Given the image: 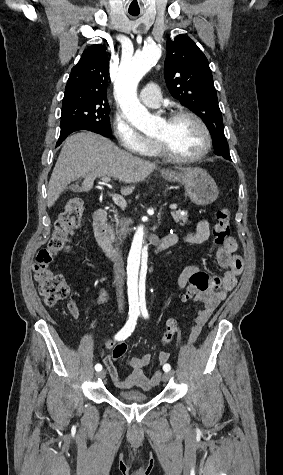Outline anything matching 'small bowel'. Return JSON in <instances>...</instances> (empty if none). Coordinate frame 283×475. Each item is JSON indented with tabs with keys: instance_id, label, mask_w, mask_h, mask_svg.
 Listing matches in <instances>:
<instances>
[{
	"instance_id": "obj_1",
	"label": "small bowel",
	"mask_w": 283,
	"mask_h": 475,
	"mask_svg": "<svg viewBox=\"0 0 283 475\" xmlns=\"http://www.w3.org/2000/svg\"><path fill=\"white\" fill-rule=\"evenodd\" d=\"M210 236L209 223L205 219L197 222L193 231H190L179 237L176 234L170 235V243L168 246L175 245L179 241L187 244H202L208 240ZM237 242L230 237L227 242L216 250V259L224 273L221 277L212 276L211 288L205 292V296H192L196 301L202 304L193 317L190 325V343H194L199 337L203 327L219 306V304L226 299L228 294L234 290L237 285L238 278L243 271V260L236 253ZM197 266L187 267L178 278V287L185 288L184 282L187 274H191V268ZM187 295H184V299ZM106 300V293L102 291L98 299L92 304L88 312L90 313L93 307L103 303ZM127 350L123 343H114L112 340L108 342L107 353L104 356V363L109 376L117 388L125 389L130 387H141L143 389H150L160 382L162 375V368L167 362H157V370L151 375L147 376L144 368L152 361V355L146 354L139 357H133L127 360V364L132 369V372L127 376H122L115 366V361L121 358ZM163 353V352H161Z\"/></svg>"
}]
</instances>
